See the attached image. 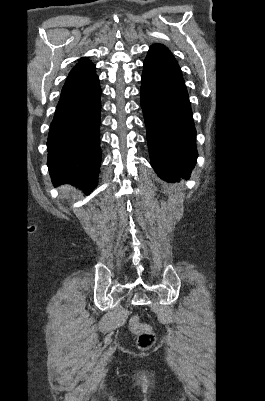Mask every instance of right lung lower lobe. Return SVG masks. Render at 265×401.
<instances>
[{"label": "right lung lower lobe", "instance_id": "obj_1", "mask_svg": "<svg viewBox=\"0 0 265 401\" xmlns=\"http://www.w3.org/2000/svg\"><path fill=\"white\" fill-rule=\"evenodd\" d=\"M98 81L61 93L47 138V165L54 185L70 183L84 191L97 185L101 162Z\"/></svg>", "mask_w": 265, "mask_h": 401}]
</instances>
